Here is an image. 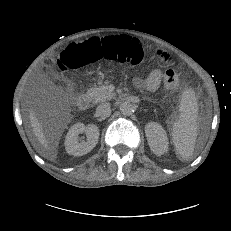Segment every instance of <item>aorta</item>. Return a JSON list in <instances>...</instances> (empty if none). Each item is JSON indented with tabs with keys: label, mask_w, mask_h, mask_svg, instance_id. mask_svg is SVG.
<instances>
[{
	"label": "aorta",
	"mask_w": 231,
	"mask_h": 231,
	"mask_svg": "<svg viewBox=\"0 0 231 231\" xmlns=\"http://www.w3.org/2000/svg\"><path fill=\"white\" fill-rule=\"evenodd\" d=\"M120 111L123 115L129 116L133 113V105L128 102H123L120 105Z\"/></svg>",
	"instance_id": "aorta-1"
}]
</instances>
